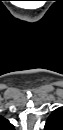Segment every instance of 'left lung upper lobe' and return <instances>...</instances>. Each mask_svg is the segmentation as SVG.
Returning <instances> with one entry per match:
<instances>
[{
  "label": "left lung upper lobe",
  "mask_w": 63,
  "mask_h": 130,
  "mask_svg": "<svg viewBox=\"0 0 63 130\" xmlns=\"http://www.w3.org/2000/svg\"><path fill=\"white\" fill-rule=\"evenodd\" d=\"M63 129V108H57L49 116L45 130H62Z\"/></svg>",
  "instance_id": "1"
}]
</instances>
